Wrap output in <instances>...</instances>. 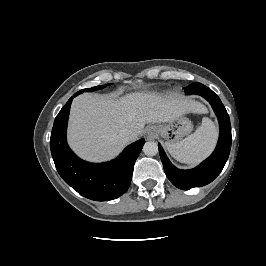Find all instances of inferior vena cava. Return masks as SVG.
<instances>
[{
  "instance_id": "602c4592",
  "label": "inferior vena cava",
  "mask_w": 266,
  "mask_h": 266,
  "mask_svg": "<svg viewBox=\"0 0 266 266\" xmlns=\"http://www.w3.org/2000/svg\"><path fill=\"white\" fill-rule=\"evenodd\" d=\"M118 137L122 142H129L131 139V132L129 130H121Z\"/></svg>"
}]
</instances>
